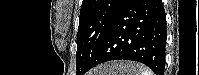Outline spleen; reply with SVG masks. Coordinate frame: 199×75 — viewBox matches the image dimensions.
I'll use <instances>...</instances> for the list:
<instances>
[{"label": "spleen", "mask_w": 199, "mask_h": 75, "mask_svg": "<svg viewBox=\"0 0 199 75\" xmlns=\"http://www.w3.org/2000/svg\"><path fill=\"white\" fill-rule=\"evenodd\" d=\"M140 75H153V72L150 69H147L145 67H140Z\"/></svg>", "instance_id": "spleen-1"}]
</instances>
